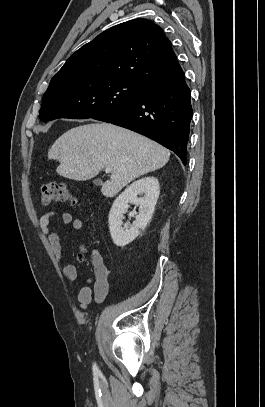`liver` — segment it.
Listing matches in <instances>:
<instances>
[{
	"label": "liver",
	"mask_w": 265,
	"mask_h": 407,
	"mask_svg": "<svg viewBox=\"0 0 265 407\" xmlns=\"http://www.w3.org/2000/svg\"><path fill=\"white\" fill-rule=\"evenodd\" d=\"M48 158L59 161L56 171L60 176L76 181L89 180L110 167L113 174L101 192L113 197L136 178L165 166L170 151L128 129L91 123L61 135L49 149Z\"/></svg>",
	"instance_id": "1"
}]
</instances>
